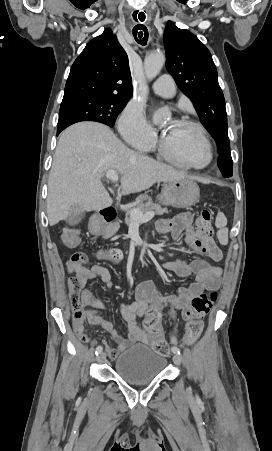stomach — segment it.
I'll return each instance as SVG.
<instances>
[{
    "label": "stomach",
    "mask_w": 272,
    "mask_h": 451,
    "mask_svg": "<svg viewBox=\"0 0 272 451\" xmlns=\"http://www.w3.org/2000/svg\"><path fill=\"white\" fill-rule=\"evenodd\" d=\"M200 196L199 186L191 178L183 180H172L166 182L160 196V204L163 206H173V208H190L197 204Z\"/></svg>",
    "instance_id": "1"
}]
</instances>
